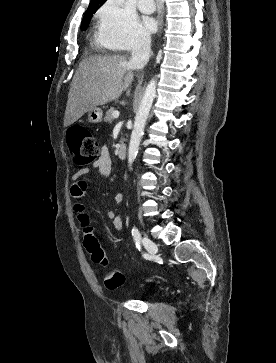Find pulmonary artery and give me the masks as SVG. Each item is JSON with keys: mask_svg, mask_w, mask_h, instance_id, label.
<instances>
[{"mask_svg": "<svg viewBox=\"0 0 276 363\" xmlns=\"http://www.w3.org/2000/svg\"><path fill=\"white\" fill-rule=\"evenodd\" d=\"M138 8L143 13L150 14L155 10L154 0H139Z\"/></svg>", "mask_w": 276, "mask_h": 363, "instance_id": "pulmonary-artery-1", "label": "pulmonary artery"}]
</instances>
